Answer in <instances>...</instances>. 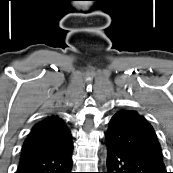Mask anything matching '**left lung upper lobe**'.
I'll return each instance as SVG.
<instances>
[{"label":"left lung upper lobe","mask_w":173,"mask_h":173,"mask_svg":"<svg viewBox=\"0 0 173 173\" xmlns=\"http://www.w3.org/2000/svg\"><path fill=\"white\" fill-rule=\"evenodd\" d=\"M105 138L113 148L163 162L162 149L153 127L136 111L117 112L109 122Z\"/></svg>","instance_id":"obj_1"}]
</instances>
